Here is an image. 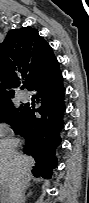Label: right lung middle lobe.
<instances>
[{
	"mask_svg": "<svg viewBox=\"0 0 89 203\" xmlns=\"http://www.w3.org/2000/svg\"><path fill=\"white\" fill-rule=\"evenodd\" d=\"M26 107L15 108L12 102L0 106V122L10 124L13 130L25 114Z\"/></svg>",
	"mask_w": 89,
	"mask_h": 203,
	"instance_id": "1",
	"label": "right lung middle lobe"
}]
</instances>
